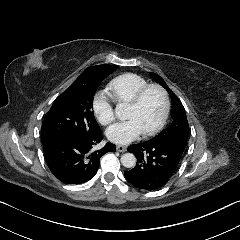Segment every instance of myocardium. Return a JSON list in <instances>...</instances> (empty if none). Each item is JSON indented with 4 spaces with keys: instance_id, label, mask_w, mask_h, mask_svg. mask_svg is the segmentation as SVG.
Wrapping results in <instances>:
<instances>
[{
    "instance_id": "myocardium-1",
    "label": "myocardium",
    "mask_w": 240,
    "mask_h": 240,
    "mask_svg": "<svg viewBox=\"0 0 240 240\" xmlns=\"http://www.w3.org/2000/svg\"><path fill=\"white\" fill-rule=\"evenodd\" d=\"M150 90H157L161 94L163 109H162L161 118L159 122L156 124V126L148 131H142V134L144 136H153L157 134L166 124L169 110H170V101H169V97L166 90L158 84H148L140 88L135 94V96L133 97L132 101L125 106V108L127 109L137 108L140 105L144 95Z\"/></svg>"
}]
</instances>
